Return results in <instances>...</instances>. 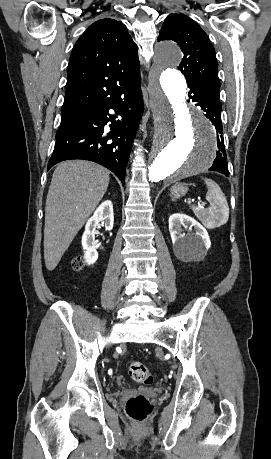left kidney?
<instances>
[{"label": "left kidney", "instance_id": "5707ae66", "mask_svg": "<svg viewBox=\"0 0 271 459\" xmlns=\"http://www.w3.org/2000/svg\"><path fill=\"white\" fill-rule=\"evenodd\" d=\"M194 228L196 233L184 235L182 228ZM169 231L173 243V249L181 259H187L191 255H197L200 249H209L211 245L208 231L199 222L186 214H172L169 218Z\"/></svg>", "mask_w": 271, "mask_h": 459}]
</instances>
